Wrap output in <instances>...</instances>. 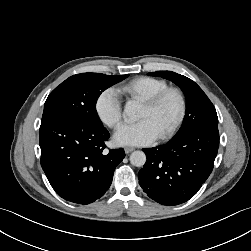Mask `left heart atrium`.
I'll return each instance as SVG.
<instances>
[{
  "instance_id": "obj_1",
  "label": "left heart atrium",
  "mask_w": 251,
  "mask_h": 251,
  "mask_svg": "<svg viewBox=\"0 0 251 251\" xmlns=\"http://www.w3.org/2000/svg\"><path fill=\"white\" fill-rule=\"evenodd\" d=\"M158 135L152 125L147 120H140L134 124H126L118 129L114 135V141L118 145L140 146L154 142Z\"/></svg>"
}]
</instances>
